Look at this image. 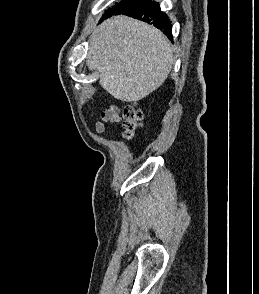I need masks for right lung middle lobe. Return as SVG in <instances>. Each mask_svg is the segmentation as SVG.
I'll return each mask as SVG.
<instances>
[{"mask_svg": "<svg viewBox=\"0 0 259 294\" xmlns=\"http://www.w3.org/2000/svg\"><path fill=\"white\" fill-rule=\"evenodd\" d=\"M140 1L141 0H124V1H121L120 3H117L116 5L112 6V8H109L108 10H106L104 15L102 16V19H105V18L110 17L112 15L121 14V13L129 10L133 6H135Z\"/></svg>", "mask_w": 259, "mask_h": 294, "instance_id": "obj_1", "label": "right lung middle lobe"}]
</instances>
